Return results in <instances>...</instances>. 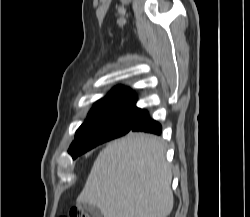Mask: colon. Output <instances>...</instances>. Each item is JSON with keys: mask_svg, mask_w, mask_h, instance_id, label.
<instances>
[{"mask_svg": "<svg viewBox=\"0 0 250 217\" xmlns=\"http://www.w3.org/2000/svg\"><path fill=\"white\" fill-rule=\"evenodd\" d=\"M66 217H90V216L78 209H72L69 211Z\"/></svg>", "mask_w": 250, "mask_h": 217, "instance_id": "colon-1", "label": "colon"}]
</instances>
